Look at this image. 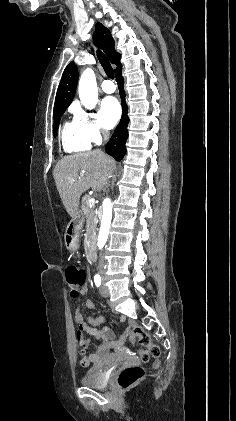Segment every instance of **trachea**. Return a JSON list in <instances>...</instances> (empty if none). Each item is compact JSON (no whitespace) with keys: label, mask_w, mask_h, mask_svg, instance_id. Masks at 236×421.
Masks as SVG:
<instances>
[{"label":"trachea","mask_w":236,"mask_h":421,"mask_svg":"<svg viewBox=\"0 0 236 421\" xmlns=\"http://www.w3.org/2000/svg\"><path fill=\"white\" fill-rule=\"evenodd\" d=\"M97 57H98V60L100 61L101 65H102L106 75L109 78L113 79L114 78V71H113V68H112L110 62L108 61L107 57L104 55L103 52H101L99 50L97 51Z\"/></svg>","instance_id":"3493384b"}]
</instances>
